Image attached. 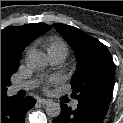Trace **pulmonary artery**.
I'll return each mask as SVG.
<instances>
[{"instance_id":"1","label":"pulmonary artery","mask_w":123,"mask_h":123,"mask_svg":"<svg viewBox=\"0 0 123 123\" xmlns=\"http://www.w3.org/2000/svg\"><path fill=\"white\" fill-rule=\"evenodd\" d=\"M66 56H67V52L63 50H58V51L49 53L50 61H51V64L53 65L61 64L65 60ZM36 85H37V81L35 80L17 81L13 83V85L11 86V91L17 92L19 90H29L34 88ZM77 105H78L77 101H73L71 104L72 108H76Z\"/></svg>"}]
</instances>
